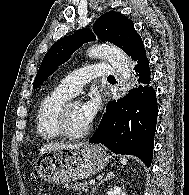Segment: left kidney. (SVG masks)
Masks as SVG:
<instances>
[{
    "instance_id": "obj_1",
    "label": "left kidney",
    "mask_w": 189,
    "mask_h": 195,
    "mask_svg": "<svg viewBox=\"0 0 189 195\" xmlns=\"http://www.w3.org/2000/svg\"><path fill=\"white\" fill-rule=\"evenodd\" d=\"M107 195H127L121 187L115 186L107 191Z\"/></svg>"
}]
</instances>
